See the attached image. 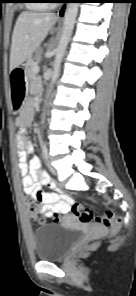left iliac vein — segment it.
<instances>
[{"mask_svg":"<svg viewBox=\"0 0 136 296\" xmlns=\"http://www.w3.org/2000/svg\"><path fill=\"white\" fill-rule=\"evenodd\" d=\"M47 166L52 174L57 175V170L49 162H47Z\"/></svg>","mask_w":136,"mask_h":296,"instance_id":"obj_1","label":"left iliac vein"}]
</instances>
